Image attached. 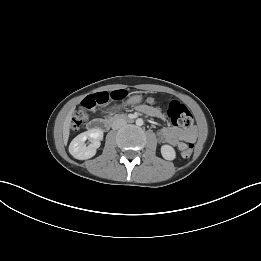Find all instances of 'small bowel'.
<instances>
[{
  "label": "small bowel",
  "mask_w": 261,
  "mask_h": 261,
  "mask_svg": "<svg viewBox=\"0 0 261 261\" xmlns=\"http://www.w3.org/2000/svg\"><path fill=\"white\" fill-rule=\"evenodd\" d=\"M138 110L146 115L158 119H164L162 111L156 107L140 106ZM159 139L162 143L178 147L180 150L196 138L194 129L184 130L176 126L164 127L158 132Z\"/></svg>",
  "instance_id": "small-bowel-1"
}]
</instances>
